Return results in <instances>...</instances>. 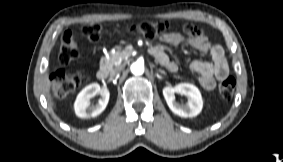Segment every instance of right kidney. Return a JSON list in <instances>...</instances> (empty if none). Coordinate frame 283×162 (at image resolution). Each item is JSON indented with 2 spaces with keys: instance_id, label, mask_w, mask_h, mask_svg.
<instances>
[{
  "instance_id": "obj_1",
  "label": "right kidney",
  "mask_w": 283,
  "mask_h": 162,
  "mask_svg": "<svg viewBox=\"0 0 283 162\" xmlns=\"http://www.w3.org/2000/svg\"><path fill=\"white\" fill-rule=\"evenodd\" d=\"M97 94L101 95L98 103L96 105L90 104V99L96 96ZM110 93L107 88H101L98 83H92L86 86L77 96L74 103V110L78 117L81 118H90L96 117L101 114L109 101Z\"/></svg>"
}]
</instances>
